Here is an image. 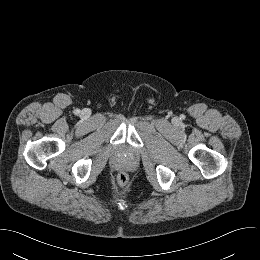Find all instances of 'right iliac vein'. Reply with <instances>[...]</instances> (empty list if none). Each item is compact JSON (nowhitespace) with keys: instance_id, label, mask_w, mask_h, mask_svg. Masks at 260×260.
<instances>
[{"instance_id":"1","label":"right iliac vein","mask_w":260,"mask_h":260,"mask_svg":"<svg viewBox=\"0 0 260 260\" xmlns=\"http://www.w3.org/2000/svg\"><path fill=\"white\" fill-rule=\"evenodd\" d=\"M81 114H82V116L85 117V118L89 117V115H90L87 110H83Z\"/></svg>"}]
</instances>
